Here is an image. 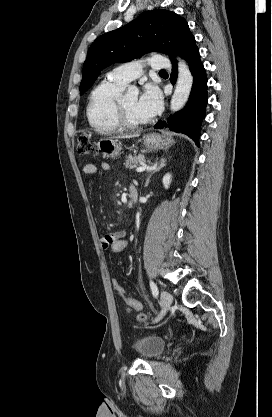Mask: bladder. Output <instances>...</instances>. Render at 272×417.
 <instances>
[{
    "label": "bladder",
    "instance_id": "bladder-1",
    "mask_svg": "<svg viewBox=\"0 0 272 417\" xmlns=\"http://www.w3.org/2000/svg\"><path fill=\"white\" fill-rule=\"evenodd\" d=\"M166 347V341L157 336H144L138 338L133 348L143 359L151 360L159 357Z\"/></svg>",
    "mask_w": 272,
    "mask_h": 417
}]
</instances>
